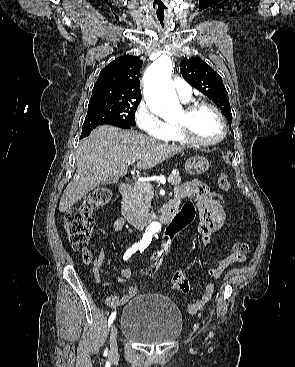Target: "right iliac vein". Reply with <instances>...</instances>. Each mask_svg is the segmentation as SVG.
Listing matches in <instances>:
<instances>
[{
    "mask_svg": "<svg viewBox=\"0 0 295 367\" xmlns=\"http://www.w3.org/2000/svg\"><path fill=\"white\" fill-rule=\"evenodd\" d=\"M117 354H118L117 329L116 326L113 324L110 333V356L115 357Z\"/></svg>",
    "mask_w": 295,
    "mask_h": 367,
    "instance_id": "1",
    "label": "right iliac vein"
}]
</instances>
